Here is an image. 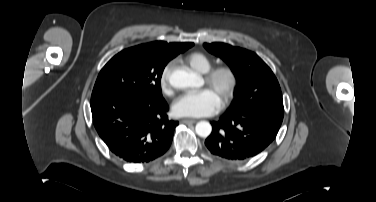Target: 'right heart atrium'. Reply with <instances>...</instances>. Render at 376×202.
I'll use <instances>...</instances> for the list:
<instances>
[{
  "mask_svg": "<svg viewBox=\"0 0 376 202\" xmlns=\"http://www.w3.org/2000/svg\"><path fill=\"white\" fill-rule=\"evenodd\" d=\"M173 67H174L173 62H169L168 64H166L164 66V68L162 69L161 74H160V79H159L160 88H161L162 92L167 94V95L171 94V92H172L170 76H171V72L173 70Z\"/></svg>",
  "mask_w": 376,
  "mask_h": 202,
  "instance_id": "1",
  "label": "right heart atrium"
}]
</instances>
